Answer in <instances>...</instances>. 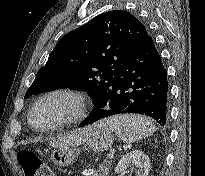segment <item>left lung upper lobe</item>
<instances>
[{
  "label": "left lung upper lobe",
  "instance_id": "obj_1",
  "mask_svg": "<svg viewBox=\"0 0 205 176\" xmlns=\"http://www.w3.org/2000/svg\"><path fill=\"white\" fill-rule=\"evenodd\" d=\"M145 32V26L127 11L96 16L59 40L25 97L70 88L87 91L97 103Z\"/></svg>",
  "mask_w": 205,
  "mask_h": 176
}]
</instances>
